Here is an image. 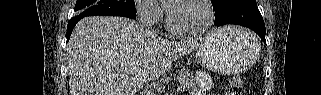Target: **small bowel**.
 <instances>
[{"label":"small bowel","instance_id":"obj_1","mask_svg":"<svg viewBox=\"0 0 321 95\" xmlns=\"http://www.w3.org/2000/svg\"><path fill=\"white\" fill-rule=\"evenodd\" d=\"M225 95H233V93H231V92H228V93H225Z\"/></svg>","mask_w":321,"mask_h":95}]
</instances>
